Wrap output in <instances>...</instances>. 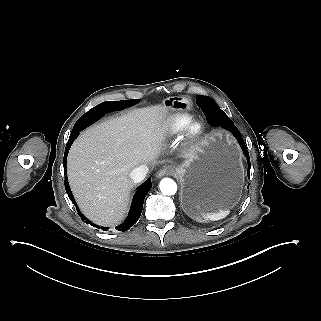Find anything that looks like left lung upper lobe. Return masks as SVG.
Wrapping results in <instances>:
<instances>
[{"mask_svg": "<svg viewBox=\"0 0 321 321\" xmlns=\"http://www.w3.org/2000/svg\"><path fill=\"white\" fill-rule=\"evenodd\" d=\"M216 104L215 101L208 97V96H203V95H198L197 96V105L201 108L204 109L205 107Z\"/></svg>", "mask_w": 321, "mask_h": 321, "instance_id": "1", "label": "left lung upper lobe"}]
</instances>
